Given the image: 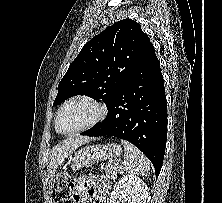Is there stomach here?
Listing matches in <instances>:
<instances>
[{
    "mask_svg": "<svg viewBox=\"0 0 222 203\" xmlns=\"http://www.w3.org/2000/svg\"><path fill=\"white\" fill-rule=\"evenodd\" d=\"M122 154V148L116 143L87 145L77 151L73 158L71 167L77 171L82 167H89L100 160H112Z\"/></svg>",
    "mask_w": 222,
    "mask_h": 203,
    "instance_id": "1",
    "label": "stomach"
}]
</instances>
